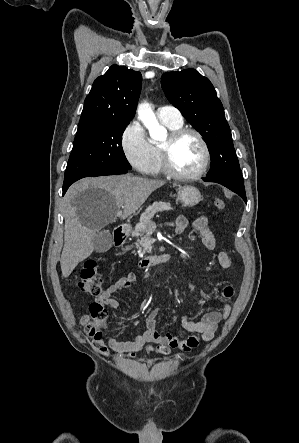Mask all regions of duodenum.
Segmentation results:
<instances>
[{"instance_id":"obj_1","label":"duodenum","mask_w":299,"mask_h":443,"mask_svg":"<svg viewBox=\"0 0 299 443\" xmlns=\"http://www.w3.org/2000/svg\"><path fill=\"white\" fill-rule=\"evenodd\" d=\"M126 226L119 225L113 231V243L116 247L122 246L126 241ZM172 257L170 253L164 254L162 256H145L138 260V267L140 269H147L154 264L160 263L163 260H168Z\"/></svg>"}]
</instances>
